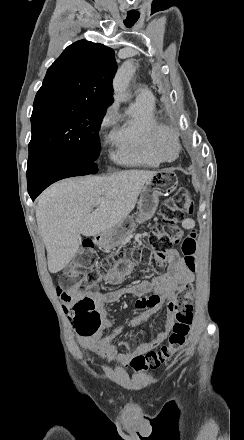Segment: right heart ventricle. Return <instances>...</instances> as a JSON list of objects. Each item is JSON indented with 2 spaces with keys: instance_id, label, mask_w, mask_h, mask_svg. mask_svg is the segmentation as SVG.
I'll return each mask as SVG.
<instances>
[{
  "instance_id": "e07e8e85",
  "label": "right heart ventricle",
  "mask_w": 244,
  "mask_h": 440,
  "mask_svg": "<svg viewBox=\"0 0 244 440\" xmlns=\"http://www.w3.org/2000/svg\"><path fill=\"white\" fill-rule=\"evenodd\" d=\"M116 127L107 137L110 144H118L117 161L127 164L156 166L160 161L152 150L154 134L162 126L156 120L154 102H138L137 98L124 114L116 119ZM129 142V145L127 144Z\"/></svg>"
}]
</instances>
